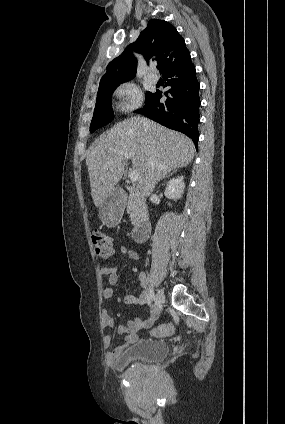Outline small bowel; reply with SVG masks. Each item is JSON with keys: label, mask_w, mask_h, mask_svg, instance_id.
<instances>
[{"label": "small bowel", "mask_w": 285, "mask_h": 424, "mask_svg": "<svg viewBox=\"0 0 285 424\" xmlns=\"http://www.w3.org/2000/svg\"><path fill=\"white\" fill-rule=\"evenodd\" d=\"M120 252L123 255L128 256L131 260L137 261L139 260V254L135 251L130 249L127 246H121ZM99 273L102 276L108 277V287H105L102 290V296L105 299H109L113 296V289L112 286L116 285L118 282V276L116 273V268H108V267H101L99 269ZM144 273H141L139 275L140 285L142 287L141 293L136 295H126L124 297V303L126 304H133V305H147L148 299H149V293L146 290V278L144 277ZM149 305V304H148ZM154 310L152 309L146 319H140L136 318L134 320L129 321L125 325H120L118 327V332L122 335H124V342L118 346H116L112 351H109L105 355V361L107 364H114L120 355L121 352H123L129 345L135 343L139 338V332L145 328H149L152 326L154 319ZM115 324L114 317L107 311H104L102 314V327L103 328H110L113 327ZM112 338L110 335H106L104 337V344L106 346H109L111 344Z\"/></svg>", "instance_id": "obj_1"}]
</instances>
